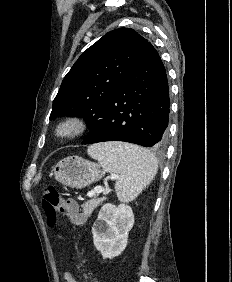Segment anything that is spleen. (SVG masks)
Segmentation results:
<instances>
[{"instance_id": "3e777b00", "label": "spleen", "mask_w": 232, "mask_h": 282, "mask_svg": "<svg viewBox=\"0 0 232 282\" xmlns=\"http://www.w3.org/2000/svg\"><path fill=\"white\" fill-rule=\"evenodd\" d=\"M87 152L99 161L105 171L119 174L115 190L122 202L135 199L154 179L158 170L156 157L136 145L103 143L90 146Z\"/></svg>"}]
</instances>
